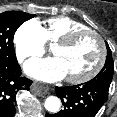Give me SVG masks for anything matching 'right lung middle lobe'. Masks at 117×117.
<instances>
[{
    "instance_id": "right-lung-middle-lobe-1",
    "label": "right lung middle lobe",
    "mask_w": 117,
    "mask_h": 117,
    "mask_svg": "<svg viewBox=\"0 0 117 117\" xmlns=\"http://www.w3.org/2000/svg\"><path fill=\"white\" fill-rule=\"evenodd\" d=\"M34 16L21 11H6L0 14V63L17 62L13 45L14 34L23 22Z\"/></svg>"
}]
</instances>
